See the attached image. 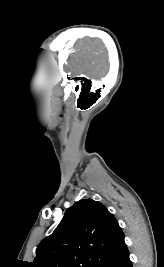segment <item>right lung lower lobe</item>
Returning <instances> with one entry per match:
<instances>
[{"label": "right lung lower lobe", "mask_w": 164, "mask_h": 267, "mask_svg": "<svg viewBox=\"0 0 164 267\" xmlns=\"http://www.w3.org/2000/svg\"><path fill=\"white\" fill-rule=\"evenodd\" d=\"M99 267H132L127 246L109 256Z\"/></svg>", "instance_id": "98d812e1"}]
</instances>
